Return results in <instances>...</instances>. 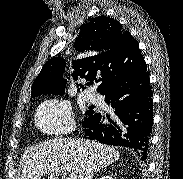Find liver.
Instances as JSON below:
<instances>
[{
    "label": "liver",
    "mask_w": 183,
    "mask_h": 179,
    "mask_svg": "<svg viewBox=\"0 0 183 179\" xmlns=\"http://www.w3.org/2000/svg\"><path fill=\"white\" fill-rule=\"evenodd\" d=\"M110 146L85 139L57 138L27 148L22 158L20 179H92L94 174L119 158Z\"/></svg>",
    "instance_id": "6515ba94"
}]
</instances>
